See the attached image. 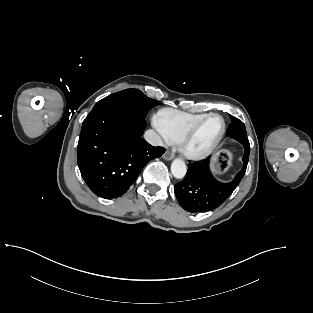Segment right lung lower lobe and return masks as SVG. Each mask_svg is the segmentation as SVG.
<instances>
[{
    "label": "right lung lower lobe",
    "mask_w": 313,
    "mask_h": 313,
    "mask_svg": "<svg viewBox=\"0 0 313 313\" xmlns=\"http://www.w3.org/2000/svg\"><path fill=\"white\" fill-rule=\"evenodd\" d=\"M146 122L121 108L91 112L82 124L77 147L81 175L93 193L117 198L142 168L165 152L141 138Z\"/></svg>",
    "instance_id": "right-lung-lower-lobe-1"
}]
</instances>
